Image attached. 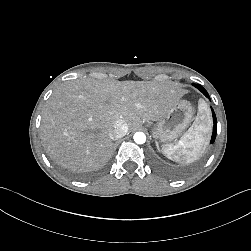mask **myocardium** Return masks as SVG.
I'll return each instance as SVG.
<instances>
[{
  "label": "myocardium",
  "instance_id": "myocardium-1",
  "mask_svg": "<svg viewBox=\"0 0 251 251\" xmlns=\"http://www.w3.org/2000/svg\"><path fill=\"white\" fill-rule=\"evenodd\" d=\"M173 103L176 107H179V106H182L185 103V101L182 98L177 97L175 98Z\"/></svg>",
  "mask_w": 251,
  "mask_h": 251
}]
</instances>
